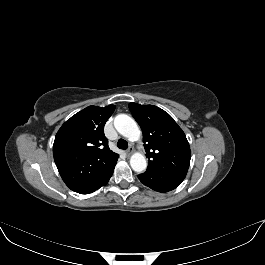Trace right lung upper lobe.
Returning a JSON list of instances; mask_svg holds the SVG:
<instances>
[{"instance_id":"cb5924a9","label":"right lung upper lobe","mask_w":265,"mask_h":265,"mask_svg":"<svg viewBox=\"0 0 265 265\" xmlns=\"http://www.w3.org/2000/svg\"><path fill=\"white\" fill-rule=\"evenodd\" d=\"M114 105L89 106L68 119L56 134L53 156L65 184L76 191L113 168L119 155L108 147L104 125Z\"/></svg>"}]
</instances>
